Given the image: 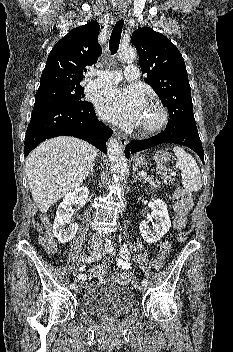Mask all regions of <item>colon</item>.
Segmentation results:
<instances>
[{"label":"colon","instance_id":"1","mask_svg":"<svg viewBox=\"0 0 233 352\" xmlns=\"http://www.w3.org/2000/svg\"><path fill=\"white\" fill-rule=\"evenodd\" d=\"M169 160V155L166 153H160L158 155V167L161 173H166V163ZM192 207V196L183 188L177 187L173 193V209L175 212L174 227L176 230H182L187 225V216ZM41 245L48 253H54L56 250V243L53 240V236L50 228H47L45 235L41 239ZM170 244L167 241H162L158 247V255L154 261L156 268H160L163 260L168 253ZM109 262H102L94 266L90 271V277L92 279H98L102 277L109 269Z\"/></svg>","mask_w":233,"mask_h":352}]
</instances>
